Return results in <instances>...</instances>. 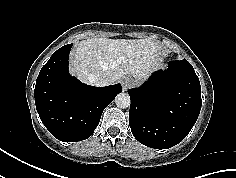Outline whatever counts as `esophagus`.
Listing matches in <instances>:
<instances>
[{"mask_svg":"<svg viewBox=\"0 0 236 178\" xmlns=\"http://www.w3.org/2000/svg\"><path fill=\"white\" fill-rule=\"evenodd\" d=\"M133 83L134 79L132 77L125 76L121 79V85L124 90H127Z\"/></svg>","mask_w":236,"mask_h":178,"instance_id":"34e87169","label":"esophagus"}]
</instances>
